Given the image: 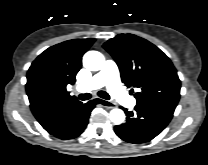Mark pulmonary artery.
I'll use <instances>...</instances> for the list:
<instances>
[{"label":"pulmonary artery","instance_id":"e3ab8cb5","mask_svg":"<svg viewBox=\"0 0 208 165\" xmlns=\"http://www.w3.org/2000/svg\"><path fill=\"white\" fill-rule=\"evenodd\" d=\"M106 86L109 93L122 105L133 107L136 103L121 86L118 67L115 62L107 60L103 68L89 81L79 85L82 91H91Z\"/></svg>","mask_w":208,"mask_h":165}]
</instances>
